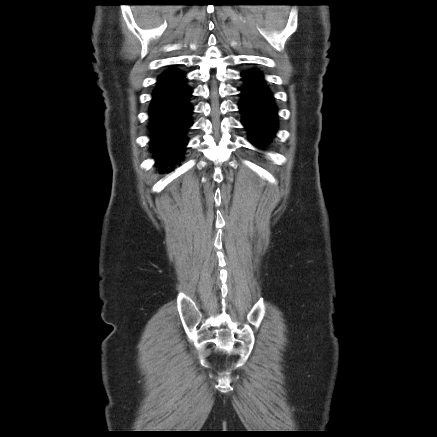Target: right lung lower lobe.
Here are the masks:
<instances>
[{"label": "right lung lower lobe", "mask_w": 437, "mask_h": 437, "mask_svg": "<svg viewBox=\"0 0 437 437\" xmlns=\"http://www.w3.org/2000/svg\"><path fill=\"white\" fill-rule=\"evenodd\" d=\"M192 92L186 73L179 69L165 70L157 79L149 108V129L150 149L161 167L174 165L183 157L193 125Z\"/></svg>", "instance_id": "98d812e1"}]
</instances>
